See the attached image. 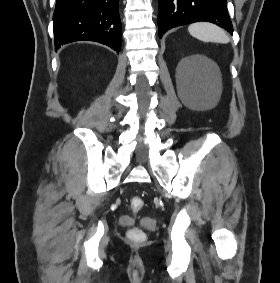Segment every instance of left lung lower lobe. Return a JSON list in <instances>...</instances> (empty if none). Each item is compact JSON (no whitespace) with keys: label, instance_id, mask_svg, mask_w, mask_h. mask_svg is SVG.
Returning a JSON list of instances; mask_svg holds the SVG:
<instances>
[{"label":"left lung lower lobe","instance_id":"obj_1","mask_svg":"<svg viewBox=\"0 0 280 283\" xmlns=\"http://www.w3.org/2000/svg\"><path fill=\"white\" fill-rule=\"evenodd\" d=\"M198 21L212 22L233 34L227 0H158L160 38L173 27Z\"/></svg>","mask_w":280,"mask_h":283}]
</instances>
